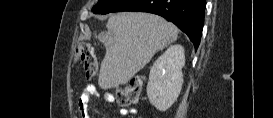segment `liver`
Listing matches in <instances>:
<instances>
[{
  "label": "liver",
  "instance_id": "liver-1",
  "mask_svg": "<svg viewBox=\"0 0 273 118\" xmlns=\"http://www.w3.org/2000/svg\"><path fill=\"white\" fill-rule=\"evenodd\" d=\"M106 27V54L98 78L104 90L126 84L157 51L175 42L178 36L172 23L143 12L112 15Z\"/></svg>",
  "mask_w": 273,
  "mask_h": 118
}]
</instances>
